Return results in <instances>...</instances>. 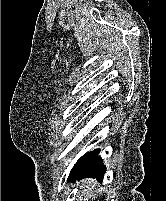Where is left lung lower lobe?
I'll return each mask as SVG.
<instances>
[{
  "label": "left lung lower lobe",
  "mask_w": 166,
  "mask_h": 201,
  "mask_svg": "<svg viewBox=\"0 0 166 201\" xmlns=\"http://www.w3.org/2000/svg\"><path fill=\"white\" fill-rule=\"evenodd\" d=\"M100 150H94L83 155L72 168L68 181L79 180L82 177H92L99 181L103 179L106 167L103 160L98 156Z\"/></svg>",
  "instance_id": "obj_1"
}]
</instances>
